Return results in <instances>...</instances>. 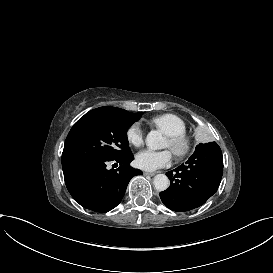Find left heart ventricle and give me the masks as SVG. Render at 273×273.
<instances>
[{
	"label": "left heart ventricle",
	"instance_id": "left-heart-ventricle-1",
	"mask_svg": "<svg viewBox=\"0 0 273 273\" xmlns=\"http://www.w3.org/2000/svg\"><path fill=\"white\" fill-rule=\"evenodd\" d=\"M166 145L170 146V141H169L168 138H167V140H166Z\"/></svg>",
	"mask_w": 273,
	"mask_h": 273
}]
</instances>
